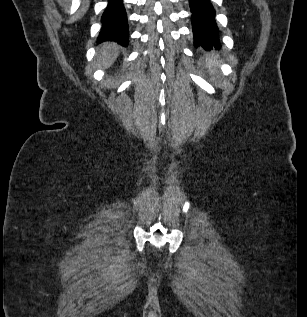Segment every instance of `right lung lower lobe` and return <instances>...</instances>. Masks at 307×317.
<instances>
[{
	"mask_svg": "<svg viewBox=\"0 0 307 317\" xmlns=\"http://www.w3.org/2000/svg\"><path fill=\"white\" fill-rule=\"evenodd\" d=\"M101 23L98 42L114 41L125 47L128 45V21L122 0H108Z\"/></svg>",
	"mask_w": 307,
	"mask_h": 317,
	"instance_id": "right-lung-lower-lobe-1",
	"label": "right lung lower lobe"
}]
</instances>
